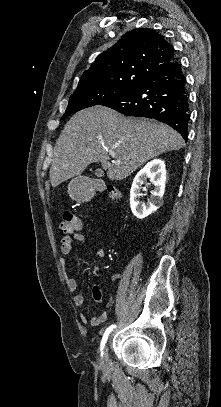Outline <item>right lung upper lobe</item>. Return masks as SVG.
Returning a JSON list of instances; mask_svg holds the SVG:
<instances>
[{"mask_svg": "<svg viewBox=\"0 0 221 407\" xmlns=\"http://www.w3.org/2000/svg\"><path fill=\"white\" fill-rule=\"evenodd\" d=\"M174 59V49L163 35L136 28L96 58L76 90L96 85L136 86Z\"/></svg>", "mask_w": 221, "mask_h": 407, "instance_id": "obj_1", "label": "right lung upper lobe"}]
</instances>
